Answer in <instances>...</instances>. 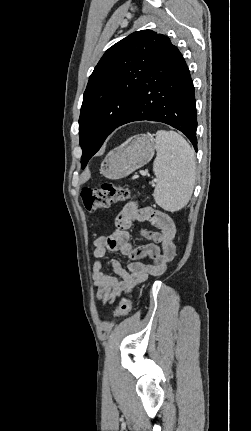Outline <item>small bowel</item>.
I'll list each match as a JSON object with an SVG mask.
<instances>
[{
  "label": "small bowel",
  "mask_w": 251,
  "mask_h": 431,
  "mask_svg": "<svg viewBox=\"0 0 251 431\" xmlns=\"http://www.w3.org/2000/svg\"><path fill=\"white\" fill-rule=\"evenodd\" d=\"M149 222L156 230H143L142 234L151 243L133 247L129 228L134 222ZM116 229L109 235L98 237L94 241L92 277L97 288L96 298L103 306L112 305L122 294L131 292L144 283L149 276H158L165 272L167 265L176 254L174 238L176 226L167 214L150 207H140L135 202L127 203L116 217ZM108 252H119L130 261L123 268L116 260L109 263L114 275L104 271L102 262ZM149 257L152 264L140 260Z\"/></svg>",
  "instance_id": "small-bowel-1"
}]
</instances>
